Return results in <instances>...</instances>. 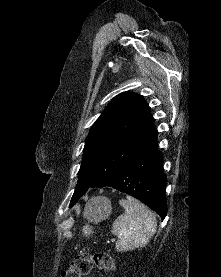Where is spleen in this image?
<instances>
[{"instance_id": "3e777b00", "label": "spleen", "mask_w": 221, "mask_h": 277, "mask_svg": "<svg viewBox=\"0 0 221 277\" xmlns=\"http://www.w3.org/2000/svg\"><path fill=\"white\" fill-rule=\"evenodd\" d=\"M119 204L125 211L112 225V232L118 236L116 250L128 251L146 246L156 232V216L144 204L130 196L120 200ZM87 210L88 206L86 212ZM91 232L89 225L84 226V235Z\"/></svg>"}]
</instances>
